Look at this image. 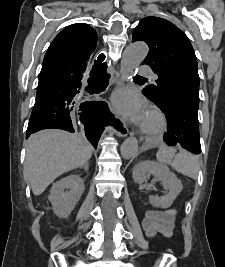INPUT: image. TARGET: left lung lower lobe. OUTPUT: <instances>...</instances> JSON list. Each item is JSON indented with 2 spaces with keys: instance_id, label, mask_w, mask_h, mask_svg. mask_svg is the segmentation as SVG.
<instances>
[{
  "instance_id": "0a47b994",
  "label": "left lung lower lobe",
  "mask_w": 225,
  "mask_h": 267,
  "mask_svg": "<svg viewBox=\"0 0 225 267\" xmlns=\"http://www.w3.org/2000/svg\"><path fill=\"white\" fill-rule=\"evenodd\" d=\"M198 105L199 88L193 85L181 86L166 99L161 111L168 122L163 138L169 146L180 145L194 154L201 152Z\"/></svg>"
}]
</instances>
